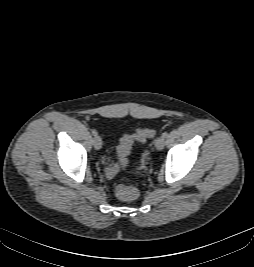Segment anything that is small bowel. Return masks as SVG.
Wrapping results in <instances>:
<instances>
[{
  "label": "small bowel",
  "instance_id": "c3829d8e",
  "mask_svg": "<svg viewBox=\"0 0 254 267\" xmlns=\"http://www.w3.org/2000/svg\"><path fill=\"white\" fill-rule=\"evenodd\" d=\"M115 173V169L113 167H109L107 170L108 176H113Z\"/></svg>",
  "mask_w": 254,
  "mask_h": 267
}]
</instances>
